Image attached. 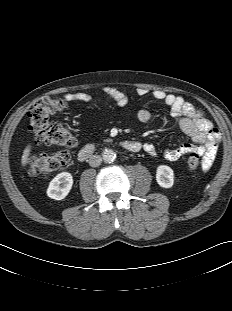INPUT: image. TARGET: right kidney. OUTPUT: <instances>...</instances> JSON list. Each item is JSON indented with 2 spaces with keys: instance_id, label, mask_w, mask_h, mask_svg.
<instances>
[{
  "instance_id": "right-kidney-1",
  "label": "right kidney",
  "mask_w": 232,
  "mask_h": 311,
  "mask_svg": "<svg viewBox=\"0 0 232 311\" xmlns=\"http://www.w3.org/2000/svg\"><path fill=\"white\" fill-rule=\"evenodd\" d=\"M73 185V177L69 172H62L55 176L47 188L48 197L55 200L64 199Z\"/></svg>"
}]
</instances>
